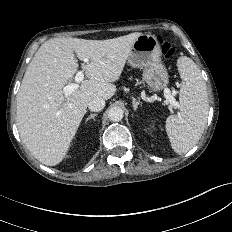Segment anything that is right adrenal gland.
<instances>
[{
    "instance_id": "1",
    "label": "right adrenal gland",
    "mask_w": 232,
    "mask_h": 232,
    "mask_svg": "<svg viewBox=\"0 0 232 232\" xmlns=\"http://www.w3.org/2000/svg\"><path fill=\"white\" fill-rule=\"evenodd\" d=\"M96 116H97L96 113L90 114V115L88 116V118L86 119V122H88L90 119H93V120L95 121V117H96Z\"/></svg>"
}]
</instances>
